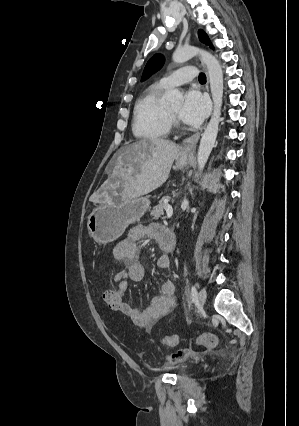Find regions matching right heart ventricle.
Wrapping results in <instances>:
<instances>
[{"mask_svg":"<svg viewBox=\"0 0 299 426\" xmlns=\"http://www.w3.org/2000/svg\"><path fill=\"white\" fill-rule=\"evenodd\" d=\"M168 87L160 82L149 86L135 105L133 133L144 140L166 137L170 130L164 93Z\"/></svg>","mask_w":299,"mask_h":426,"instance_id":"obj_1","label":"right heart ventricle"}]
</instances>
